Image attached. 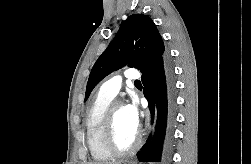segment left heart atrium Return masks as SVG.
Segmentation results:
<instances>
[{
  "instance_id": "left-heart-atrium-1",
  "label": "left heart atrium",
  "mask_w": 251,
  "mask_h": 164,
  "mask_svg": "<svg viewBox=\"0 0 251 164\" xmlns=\"http://www.w3.org/2000/svg\"><path fill=\"white\" fill-rule=\"evenodd\" d=\"M124 109L130 125L137 130L139 124V112L136 103L131 102L127 104Z\"/></svg>"
}]
</instances>
